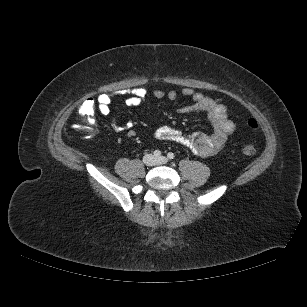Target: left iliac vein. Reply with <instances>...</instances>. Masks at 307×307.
Returning <instances> with one entry per match:
<instances>
[{
  "label": "left iliac vein",
  "mask_w": 307,
  "mask_h": 307,
  "mask_svg": "<svg viewBox=\"0 0 307 307\" xmlns=\"http://www.w3.org/2000/svg\"><path fill=\"white\" fill-rule=\"evenodd\" d=\"M167 162H168V159L165 156H161L156 159V164H165Z\"/></svg>",
  "instance_id": "1"
}]
</instances>
